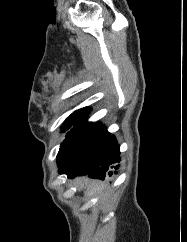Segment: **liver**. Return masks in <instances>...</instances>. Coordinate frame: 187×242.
I'll return each instance as SVG.
<instances>
[{
    "label": "liver",
    "mask_w": 187,
    "mask_h": 242,
    "mask_svg": "<svg viewBox=\"0 0 187 242\" xmlns=\"http://www.w3.org/2000/svg\"><path fill=\"white\" fill-rule=\"evenodd\" d=\"M76 185L78 190L85 188V195L93 196L104 192L105 185L101 181L91 180L87 177L77 178Z\"/></svg>",
    "instance_id": "1"
}]
</instances>
